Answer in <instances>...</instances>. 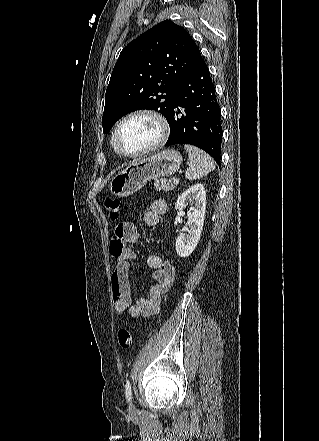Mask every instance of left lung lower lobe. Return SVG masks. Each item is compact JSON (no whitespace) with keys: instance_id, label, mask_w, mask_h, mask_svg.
<instances>
[{"instance_id":"obj_1","label":"left lung lower lobe","mask_w":319,"mask_h":441,"mask_svg":"<svg viewBox=\"0 0 319 441\" xmlns=\"http://www.w3.org/2000/svg\"><path fill=\"white\" fill-rule=\"evenodd\" d=\"M220 109L209 70L202 58L179 83L168 119L170 136L165 146H197L220 164L222 126Z\"/></svg>"}]
</instances>
